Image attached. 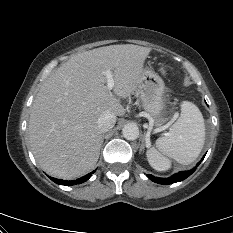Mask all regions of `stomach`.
<instances>
[{"label": "stomach", "instance_id": "stomach-1", "mask_svg": "<svg viewBox=\"0 0 233 233\" xmlns=\"http://www.w3.org/2000/svg\"><path fill=\"white\" fill-rule=\"evenodd\" d=\"M138 91L144 110L155 119L157 124L163 122L160 117L165 109V84L163 79L150 68L141 74Z\"/></svg>", "mask_w": 233, "mask_h": 233}]
</instances>
